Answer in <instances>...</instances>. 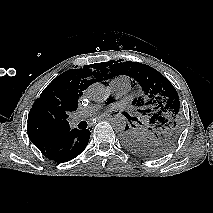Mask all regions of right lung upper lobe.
I'll return each instance as SVG.
<instances>
[{
    "label": "right lung upper lobe",
    "instance_id": "cb5924a9",
    "mask_svg": "<svg viewBox=\"0 0 213 213\" xmlns=\"http://www.w3.org/2000/svg\"><path fill=\"white\" fill-rule=\"evenodd\" d=\"M96 64L71 69L56 77L34 102L27 132L31 141L69 132L68 113L78 107V98L88 86L103 79Z\"/></svg>",
    "mask_w": 213,
    "mask_h": 213
}]
</instances>
